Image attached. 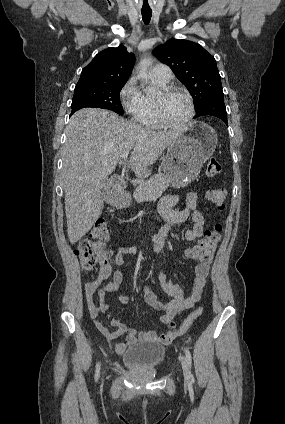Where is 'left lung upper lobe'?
<instances>
[{"mask_svg":"<svg viewBox=\"0 0 285 424\" xmlns=\"http://www.w3.org/2000/svg\"><path fill=\"white\" fill-rule=\"evenodd\" d=\"M187 87L198 111L208 102L224 99L216 60L201 45L187 40H169L153 50Z\"/></svg>","mask_w":285,"mask_h":424,"instance_id":"1","label":"left lung upper lobe"}]
</instances>
